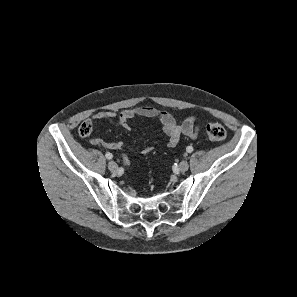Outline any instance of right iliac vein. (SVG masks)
I'll return each mask as SVG.
<instances>
[{
    "label": "right iliac vein",
    "mask_w": 297,
    "mask_h": 297,
    "mask_svg": "<svg viewBox=\"0 0 297 297\" xmlns=\"http://www.w3.org/2000/svg\"><path fill=\"white\" fill-rule=\"evenodd\" d=\"M108 168H109L110 171H112V172H116V171L118 170V165H117L116 162H114V161H110V162L108 163Z\"/></svg>",
    "instance_id": "63e3f726"
}]
</instances>
